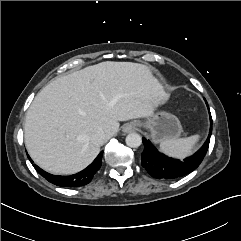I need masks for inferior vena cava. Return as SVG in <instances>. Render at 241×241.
<instances>
[{
  "label": "inferior vena cava",
  "mask_w": 241,
  "mask_h": 241,
  "mask_svg": "<svg viewBox=\"0 0 241 241\" xmlns=\"http://www.w3.org/2000/svg\"><path fill=\"white\" fill-rule=\"evenodd\" d=\"M90 140L95 145H102L106 140L105 133L103 131H96L91 135Z\"/></svg>",
  "instance_id": "obj_1"
}]
</instances>
